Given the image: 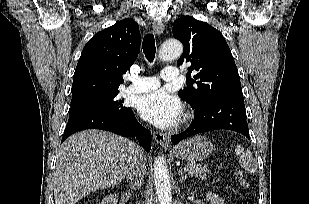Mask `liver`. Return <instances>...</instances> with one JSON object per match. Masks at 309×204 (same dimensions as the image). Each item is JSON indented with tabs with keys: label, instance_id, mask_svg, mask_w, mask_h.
Returning <instances> with one entry per match:
<instances>
[{
	"label": "liver",
	"instance_id": "obj_1",
	"mask_svg": "<svg viewBox=\"0 0 309 204\" xmlns=\"http://www.w3.org/2000/svg\"><path fill=\"white\" fill-rule=\"evenodd\" d=\"M137 147L106 131L86 130L69 137L57 153L55 204H76L91 192L120 183Z\"/></svg>",
	"mask_w": 309,
	"mask_h": 204
}]
</instances>
